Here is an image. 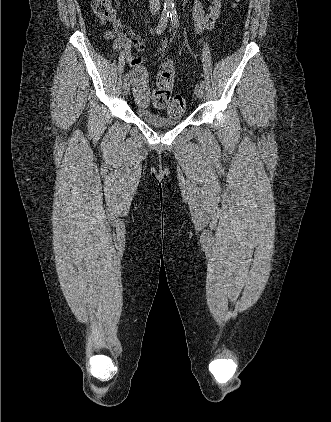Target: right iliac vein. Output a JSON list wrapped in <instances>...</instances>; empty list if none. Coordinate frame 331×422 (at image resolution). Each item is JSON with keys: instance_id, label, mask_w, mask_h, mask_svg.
<instances>
[{"instance_id": "63e3f726", "label": "right iliac vein", "mask_w": 331, "mask_h": 422, "mask_svg": "<svg viewBox=\"0 0 331 422\" xmlns=\"http://www.w3.org/2000/svg\"><path fill=\"white\" fill-rule=\"evenodd\" d=\"M130 90V84L128 82H125L122 86V94L126 96L129 93Z\"/></svg>"}]
</instances>
